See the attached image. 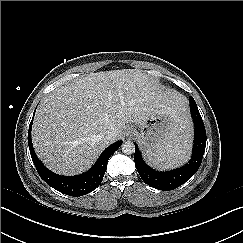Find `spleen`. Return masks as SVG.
<instances>
[{"instance_id":"1","label":"spleen","mask_w":243,"mask_h":243,"mask_svg":"<svg viewBox=\"0 0 243 243\" xmlns=\"http://www.w3.org/2000/svg\"><path fill=\"white\" fill-rule=\"evenodd\" d=\"M190 152L191 134L189 131L180 130L174 131L168 140L157 148L156 153L147 154V159L158 168H175L187 162Z\"/></svg>"}]
</instances>
